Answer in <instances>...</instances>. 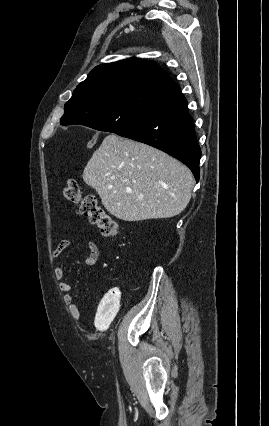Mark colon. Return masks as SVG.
I'll list each match as a JSON object with an SVG mask.
<instances>
[{"instance_id":"5ec220e1","label":"colon","mask_w":269,"mask_h":426,"mask_svg":"<svg viewBox=\"0 0 269 426\" xmlns=\"http://www.w3.org/2000/svg\"><path fill=\"white\" fill-rule=\"evenodd\" d=\"M63 199L75 204L80 215L96 226L105 237H115L119 233L118 223L105 211L93 195H82L76 180H68L61 191Z\"/></svg>"}]
</instances>
